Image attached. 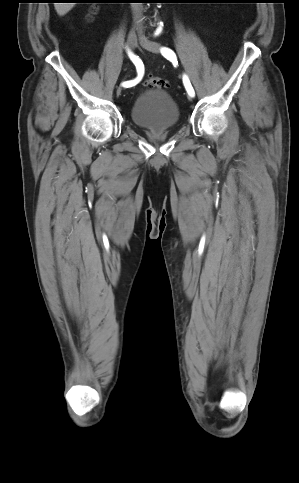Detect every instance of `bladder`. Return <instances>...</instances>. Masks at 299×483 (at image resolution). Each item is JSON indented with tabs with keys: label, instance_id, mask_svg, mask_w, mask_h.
<instances>
[{
	"label": "bladder",
	"instance_id": "31cf9c89",
	"mask_svg": "<svg viewBox=\"0 0 299 483\" xmlns=\"http://www.w3.org/2000/svg\"><path fill=\"white\" fill-rule=\"evenodd\" d=\"M133 122L146 130L161 131L174 127L179 120V110L174 99L163 89L141 93L131 108Z\"/></svg>",
	"mask_w": 299,
	"mask_h": 483
}]
</instances>
